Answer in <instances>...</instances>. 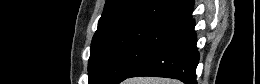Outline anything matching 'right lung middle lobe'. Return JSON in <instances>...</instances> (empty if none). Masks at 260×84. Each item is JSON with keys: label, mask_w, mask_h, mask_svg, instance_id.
Returning a JSON list of instances; mask_svg holds the SVG:
<instances>
[{"label": "right lung middle lobe", "mask_w": 260, "mask_h": 84, "mask_svg": "<svg viewBox=\"0 0 260 84\" xmlns=\"http://www.w3.org/2000/svg\"><path fill=\"white\" fill-rule=\"evenodd\" d=\"M175 29V26L157 23L133 24L92 41L89 84L121 82Z\"/></svg>", "instance_id": "dd1d6c3e"}]
</instances>
